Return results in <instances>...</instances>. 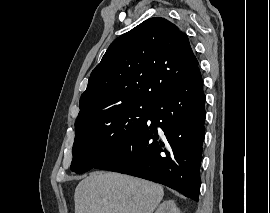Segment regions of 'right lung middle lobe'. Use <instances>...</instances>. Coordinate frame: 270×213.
Segmentation results:
<instances>
[{
  "mask_svg": "<svg viewBox=\"0 0 270 213\" xmlns=\"http://www.w3.org/2000/svg\"><path fill=\"white\" fill-rule=\"evenodd\" d=\"M152 107L151 103L134 102L75 123L71 170L83 173L96 168L139 130Z\"/></svg>",
  "mask_w": 270,
  "mask_h": 213,
  "instance_id": "1",
  "label": "right lung middle lobe"
}]
</instances>
